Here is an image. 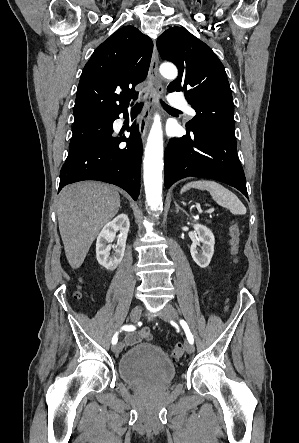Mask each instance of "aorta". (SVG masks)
Here are the masks:
<instances>
[{"label":"aorta","instance_id":"762f6f07","mask_svg":"<svg viewBox=\"0 0 299 443\" xmlns=\"http://www.w3.org/2000/svg\"><path fill=\"white\" fill-rule=\"evenodd\" d=\"M160 73L166 79H175L178 71L172 64H162ZM144 186L146 202L153 211L162 208L163 134L159 115H155L145 147Z\"/></svg>","mask_w":299,"mask_h":443}]
</instances>
